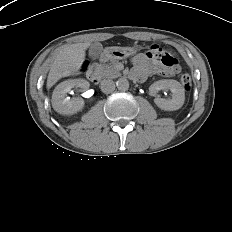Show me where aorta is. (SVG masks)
Instances as JSON below:
<instances>
[{
  "label": "aorta",
  "mask_w": 232,
  "mask_h": 232,
  "mask_svg": "<svg viewBox=\"0 0 232 232\" xmlns=\"http://www.w3.org/2000/svg\"><path fill=\"white\" fill-rule=\"evenodd\" d=\"M116 86L121 91H126L129 88V81L126 78H120L116 82Z\"/></svg>",
  "instance_id": "1"
}]
</instances>
